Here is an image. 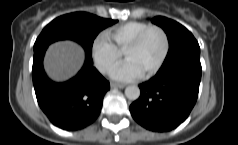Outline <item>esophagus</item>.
Segmentation results:
<instances>
[{
    "label": "esophagus",
    "mask_w": 238,
    "mask_h": 145,
    "mask_svg": "<svg viewBox=\"0 0 238 145\" xmlns=\"http://www.w3.org/2000/svg\"><path fill=\"white\" fill-rule=\"evenodd\" d=\"M110 86L111 88H120V89L125 87L124 84H118V83H111Z\"/></svg>",
    "instance_id": "1"
}]
</instances>
